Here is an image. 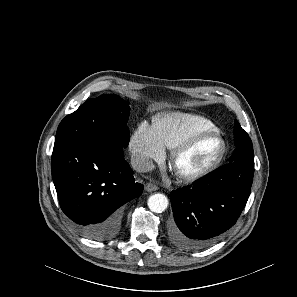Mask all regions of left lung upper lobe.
<instances>
[{"mask_svg": "<svg viewBox=\"0 0 297 297\" xmlns=\"http://www.w3.org/2000/svg\"><path fill=\"white\" fill-rule=\"evenodd\" d=\"M234 144L236 149L230 157L229 163L254 162L252 141L236 120L234 125Z\"/></svg>", "mask_w": 297, "mask_h": 297, "instance_id": "obj_1", "label": "left lung upper lobe"}]
</instances>
